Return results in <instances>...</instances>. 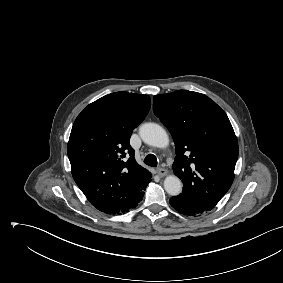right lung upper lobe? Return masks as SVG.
<instances>
[{
  "label": "right lung upper lobe",
  "instance_id": "obj_1",
  "mask_svg": "<svg viewBox=\"0 0 283 283\" xmlns=\"http://www.w3.org/2000/svg\"><path fill=\"white\" fill-rule=\"evenodd\" d=\"M150 109L147 95L108 94L76 118L67 152L72 176L98 210L124 213L142 200L151 173L136 163L130 137Z\"/></svg>",
  "mask_w": 283,
  "mask_h": 283
}]
</instances>
